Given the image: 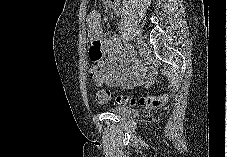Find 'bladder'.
<instances>
[{"label":"bladder","instance_id":"31cf9c89","mask_svg":"<svg viewBox=\"0 0 227 157\" xmlns=\"http://www.w3.org/2000/svg\"><path fill=\"white\" fill-rule=\"evenodd\" d=\"M111 111L123 118L135 117L138 114V110L131 107H116Z\"/></svg>","mask_w":227,"mask_h":157}]
</instances>
